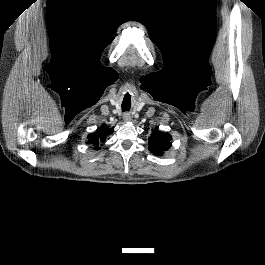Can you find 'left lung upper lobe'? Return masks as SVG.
Wrapping results in <instances>:
<instances>
[{"label": "left lung upper lobe", "instance_id": "left-lung-upper-lobe-1", "mask_svg": "<svg viewBox=\"0 0 265 265\" xmlns=\"http://www.w3.org/2000/svg\"><path fill=\"white\" fill-rule=\"evenodd\" d=\"M148 144L149 150L153 154L160 156L171 147V136L156 129L149 138Z\"/></svg>", "mask_w": 265, "mask_h": 265}]
</instances>
